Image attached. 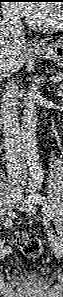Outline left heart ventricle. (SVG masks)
Segmentation results:
<instances>
[{
  "mask_svg": "<svg viewBox=\"0 0 63 297\" xmlns=\"http://www.w3.org/2000/svg\"><path fill=\"white\" fill-rule=\"evenodd\" d=\"M58 17H59V12L57 7L54 5H47L46 12L40 21L44 24H50V23L56 22L58 20Z\"/></svg>",
  "mask_w": 63,
  "mask_h": 297,
  "instance_id": "left-heart-ventricle-1",
  "label": "left heart ventricle"
}]
</instances>
